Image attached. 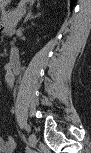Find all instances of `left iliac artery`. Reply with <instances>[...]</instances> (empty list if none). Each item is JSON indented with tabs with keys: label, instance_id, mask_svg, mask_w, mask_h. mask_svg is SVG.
<instances>
[{
	"label": "left iliac artery",
	"instance_id": "obj_1",
	"mask_svg": "<svg viewBox=\"0 0 91 153\" xmlns=\"http://www.w3.org/2000/svg\"><path fill=\"white\" fill-rule=\"evenodd\" d=\"M25 134H27L26 127L24 129V132H22V135H25ZM23 143H25L26 149H29L30 143H29V140H28V136L23 137ZM24 153H27V151H24Z\"/></svg>",
	"mask_w": 91,
	"mask_h": 153
}]
</instances>
